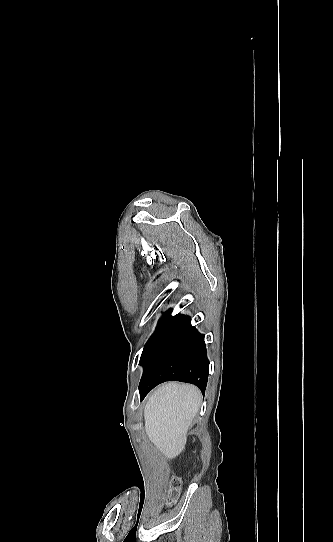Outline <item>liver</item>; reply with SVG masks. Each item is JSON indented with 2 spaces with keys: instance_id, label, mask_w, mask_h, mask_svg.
Segmentation results:
<instances>
[{
  "instance_id": "liver-1",
  "label": "liver",
  "mask_w": 333,
  "mask_h": 542,
  "mask_svg": "<svg viewBox=\"0 0 333 542\" xmlns=\"http://www.w3.org/2000/svg\"><path fill=\"white\" fill-rule=\"evenodd\" d=\"M201 400L198 388L176 382L160 386L149 398L144 408L145 432L168 460L183 452Z\"/></svg>"
}]
</instances>
